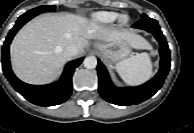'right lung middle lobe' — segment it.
Segmentation results:
<instances>
[{
    "instance_id": "1",
    "label": "right lung middle lobe",
    "mask_w": 194,
    "mask_h": 133,
    "mask_svg": "<svg viewBox=\"0 0 194 133\" xmlns=\"http://www.w3.org/2000/svg\"><path fill=\"white\" fill-rule=\"evenodd\" d=\"M55 8H56L55 6H49V5H46V6H39V7H36V8H34V9H31V10L27 11V12L24 13V14H25V15L37 16L38 14L43 13V12L54 11Z\"/></svg>"
}]
</instances>
